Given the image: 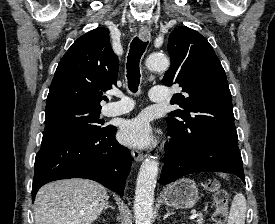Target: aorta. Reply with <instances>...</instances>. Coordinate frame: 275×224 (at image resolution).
Segmentation results:
<instances>
[{
  "label": "aorta",
  "mask_w": 275,
  "mask_h": 224,
  "mask_svg": "<svg viewBox=\"0 0 275 224\" xmlns=\"http://www.w3.org/2000/svg\"><path fill=\"white\" fill-rule=\"evenodd\" d=\"M146 66L151 71H162L168 68L169 60L160 54H150ZM157 157H148L138 173L135 190V224H151L153 218L154 190L158 175Z\"/></svg>",
  "instance_id": "762f6f07"
}]
</instances>
